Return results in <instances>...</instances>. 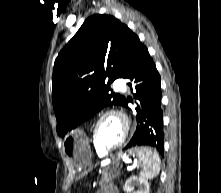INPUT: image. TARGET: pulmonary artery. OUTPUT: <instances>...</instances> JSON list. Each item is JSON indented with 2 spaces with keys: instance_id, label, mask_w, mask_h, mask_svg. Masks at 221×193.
Returning <instances> with one entry per match:
<instances>
[{
  "instance_id": "e3ab8cb5",
  "label": "pulmonary artery",
  "mask_w": 221,
  "mask_h": 193,
  "mask_svg": "<svg viewBox=\"0 0 221 193\" xmlns=\"http://www.w3.org/2000/svg\"><path fill=\"white\" fill-rule=\"evenodd\" d=\"M114 87L116 90H121V91H125L126 89V85L123 79H117L114 82Z\"/></svg>"
}]
</instances>
